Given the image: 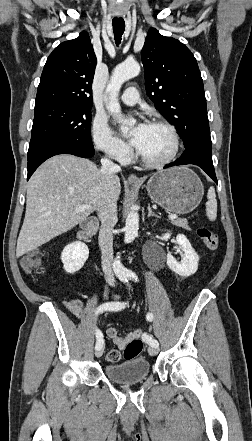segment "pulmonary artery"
I'll list each match as a JSON object with an SVG mask.
<instances>
[{"mask_svg": "<svg viewBox=\"0 0 252 441\" xmlns=\"http://www.w3.org/2000/svg\"><path fill=\"white\" fill-rule=\"evenodd\" d=\"M120 100L126 105H135L139 101V91L136 87H129L120 96Z\"/></svg>", "mask_w": 252, "mask_h": 441, "instance_id": "e3ab8cb5", "label": "pulmonary artery"}]
</instances>
